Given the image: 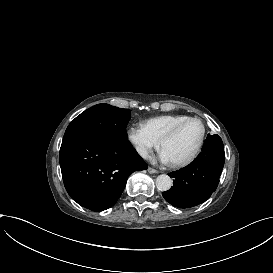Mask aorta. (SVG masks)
I'll return each mask as SVG.
<instances>
[{
	"mask_svg": "<svg viewBox=\"0 0 273 273\" xmlns=\"http://www.w3.org/2000/svg\"><path fill=\"white\" fill-rule=\"evenodd\" d=\"M172 185V179L166 174H161L156 178V187L159 191H168Z\"/></svg>",
	"mask_w": 273,
	"mask_h": 273,
	"instance_id": "1",
	"label": "aorta"
}]
</instances>
